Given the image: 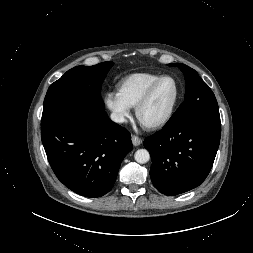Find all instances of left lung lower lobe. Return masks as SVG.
<instances>
[{"label": "left lung lower lobe", "instance_id": "obj_1", "mask_svg": "<svg viewBox=\"0 0 253 253\" xmlns=\"http://www.w3.org/2000/svg\"><path fill=\"white\" fill-rule=\"evenodd\" d=\"M220 136V120L202 118L163 127L146 138L154 186L169 196L198 187L212 168Z\"/></svg>", "mask_w": 253, "mask_h": 253}]
</instances>
